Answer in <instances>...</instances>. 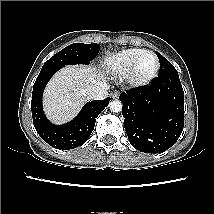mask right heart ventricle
<instances>
[{"label": "right heart ventricle", "instance_id": "1", "mask_svg": "<svg viewBox=\"0 0 214 214\" xmlns=\"http://www.w3.org/2000/svg\"><path fill=\"white\" fill-rule=\"evenodd\" d=\"M144 49L130 48L106 57L103 65L106 71L114 76H121L128 72L133 62L144 52Z\"/></svg>", "mask_w": 214, "mask_h": 214}]
</instances>
